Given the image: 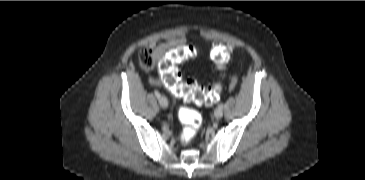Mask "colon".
Segmentation results:
<instances>
[{
  "label": "colon",
  "mask_w": 365,
  "mask_h": 180,
  "mask_svg": "<svg viewBox=\"0 0 365 180\" xmlns=\"http://www.w3.org/2000/svg\"><path fill=\"white\" fill-rule=\"evenodd\" d=\"M196 54L197 48L190 44L173 49L169 55L160 62L161 79L166 87L174 94L186 99L194 100L199 104L212 105L217 101L221 92L222 83L220 81L208 88H204L198 85L193 79L182 82L178 74L177 66L195 57ZM210 57L220 70L224 69L229 59L227 49L219 42L213 44ZM139 63L144 70H150L154 67V54L150 48H143L140 50ZM235 84L236 78H233L230 86L234 87ZM179 118L184 125L180 139L183 145H188L198 134L202 119L199 113L187 108H182L179 111Z\"/></svg>",
  "instance_id": "1"
}]
</instances>
